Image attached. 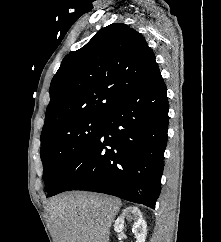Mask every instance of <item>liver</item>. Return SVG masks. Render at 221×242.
Here are the masks:
<instances>
[{
	"label": "liver",
	"instance_id": "1",
	"mask_svg": "<svg viewBox=\"0 0 221 242\" xmlns=\"http://www.w3.org/2000/svg\"><path fill=\"white\" fill-rule=\"evenodd\" d=\"M122 203L119 199L70 192L50 200L47 210L54 242H109L110 227Z\"/></svg>",
	"mask_w": 221,
	"mask_h": 242
}]
</instances>
